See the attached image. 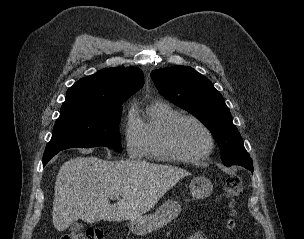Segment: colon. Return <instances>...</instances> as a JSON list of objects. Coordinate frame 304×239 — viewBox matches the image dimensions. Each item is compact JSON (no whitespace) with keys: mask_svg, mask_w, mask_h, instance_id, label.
<instances>
[{"mask_svg":"<svg viewBox=\"0 0 304 239\" xmlns=\"http://www.w3.org/2000/svg\"><path fill=\"white\" fill-rule=\"evenodd\" d=\"M224 195L229 200L230 206L234 208L236 200L243 193V181L239 177L228 178L224 184ZM235 211L232 209V215ZM234 219L231 218L229 225L234 226ZM103 232L100 229L89 228L83 232H71L60 235L57 239H102Z\"/></svg>","mask_w":304,"mask_h":239,"instance_id":"5ec220e1","label":"colon"}]
</instances>
